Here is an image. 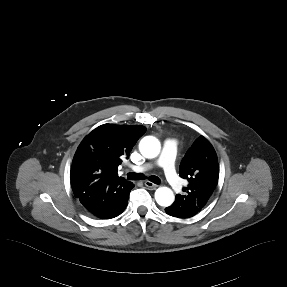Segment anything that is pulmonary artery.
<instances>
[{
  "label": "pulmonary artery",
  "mask_w": 287,
  "mask_h": 287,
  "mask_svg": "<svg viewBox=\"0 0 287 287\" xmlns=\"http://www.w3.org/2000/svg\"><path fill=\"white\" fill-rule=\"evenodd\" d=\"M177 149V142L175 140L166 141L160 157L156 160V166L162 167L166 180L172 186L176 193L182 191L181 183L179 182L174 168V157ZM153 164L146 163L143 165H133L132 170L136 173H142L151 169Z\"/></svg>",
  "instance_id": "pulmonary-artery-1"
}]
</instances>
